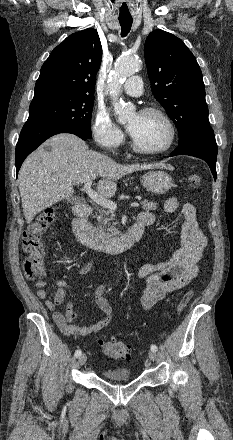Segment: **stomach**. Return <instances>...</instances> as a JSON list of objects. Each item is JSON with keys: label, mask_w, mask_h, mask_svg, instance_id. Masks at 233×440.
I'll list each match as a JSON object with an SVG mask.
<instances>
[{"label": "stomach", "mask_w": 233, "mask_h": 440, "mask_svg": "<svg viewBox=\"0 0 233 440\" xmlns=\"http://www.w3.org/2000/svg\"><path fill=\"white\" fill-rule=\"evenodd\" d=\"M142 185L148 192L153 194H164L173 185L171 176L161 170L150 171L141 177Z\"/></svg>", "instance_id": "stomach-1"}]
</instances>
